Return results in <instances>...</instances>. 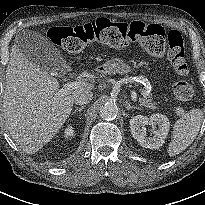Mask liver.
<instances>
[{
	"label": "liver",
	"mask_w": 205,
	"mask_h": 205,
	"mask_svg": "<svg viewBox=\"0 0 205 205\" xmlns=\"http://www.w3.org/2000/svg\"><path fill=\"white\" fill-rule=\"evenodd\" d=\"M58 81L28 60L15 44L11 48L3 92V115L10 136L27 154L47 144L69 117L75 96L94 88L82 81L74 90H59Z\"/></svg>",
	"instance_id": "1"
}]
</instances>
